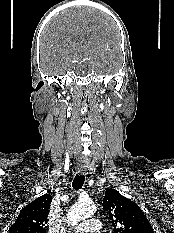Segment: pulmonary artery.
Wrapping results in <instances>:
<instances>
[{
    "mask_svg": "<svg viewBox=\"0 0 174 233\" xmlns=\"http://www.w3.org/2000/svg\"><path fill=\"white\" fill-rule=\"evenodd\" d=\"M101 223L95 218L87 219L75 227V233H100Z\"/></svg>",
    "mask_w": 174,
    "mask_h": 233,
    "instance_id": "pulmonary-artery-1",
    "label": "pulmonary artery"
}]
</instances>
